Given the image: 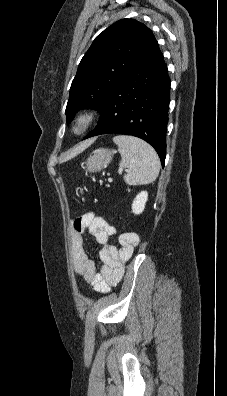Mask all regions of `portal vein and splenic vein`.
Instances as JSON below:
<instances>
[{"instance_id":"obj_1","label":"portal vein and splenic vein","mask_w":227,"mask_h":396,"mask_svg":"<svg viewBox=\"0 0 227 396\" xmlns=\"http://www.w3.org/2000/svg\"><path fill=\"white\" fill-rule=\"evenodd\" d=\"M122 171H123V169L120 168V169H119V174H122ZM108 181H109V182H112V178H109Z\"/></svg>"}]
</instances>
